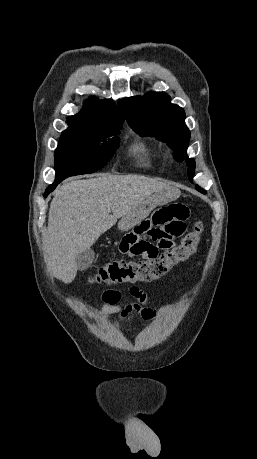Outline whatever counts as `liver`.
Wrapping results in <instances>:
<instances>
[{"instance_id": "6515ba94", "label": "liver", "mask_w": 257, "mask_h": 459, "mask_svg": "<svg viewBox=\"0 0 257 459\" xmlns=\"http://www.w3.org/2000/svg\"><path fill=\"white\" fill-rule=\"evenodd\" d=\"M169 187L140 175H103L67 183L50 204L45 234L47 267L68 284L77 274L76 257L153 193Z\"/></svg>"}]
</instances>
